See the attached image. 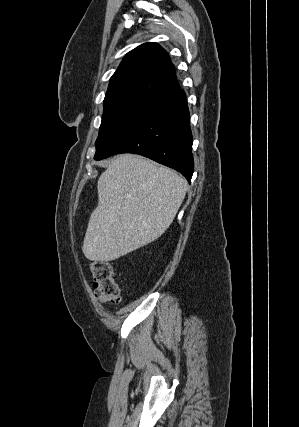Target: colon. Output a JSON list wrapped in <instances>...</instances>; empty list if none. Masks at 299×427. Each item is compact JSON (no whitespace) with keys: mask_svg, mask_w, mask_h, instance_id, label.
I'll return each instance as SVG.
<instances>
[{"mask_svg":"<svg viewBox=\"0 0 299 427\" xmlns=\"http://www.w3.org/2000/svg\"><path fill=\"white\" fill-rule=\"evenodd\" d=\"M90 270L97 299L103 303L118 304L121 289L112 265L107 261L97 260L91 263Z\"/></svg>","mask_w":299,"mask_h":427,"instance_id":"5ec220e1","label":"colon"}]
</instances>
